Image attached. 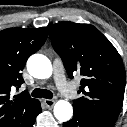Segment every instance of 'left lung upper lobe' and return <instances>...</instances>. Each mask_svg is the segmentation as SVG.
Wrapping results in <instances>:
<instances>
[{
	"instance_id": "1",
	"label": "left lung upper lobe",
	"mask_w": 127,
	"mask_h": 127,
	"mask_svg": "<svg viewBox=\"0 0 127 127\" xmlns=\"http://www.w3.org/2000/svg\"><path fill=\"white\" fill-rule=\"evenodd\" d=\"M55 51L70 77L83 76L73 107L110 124H115L123 104L126 75L115 47L94 26L61 22L49 27Z\"/></svg>"
}]
</instances>
